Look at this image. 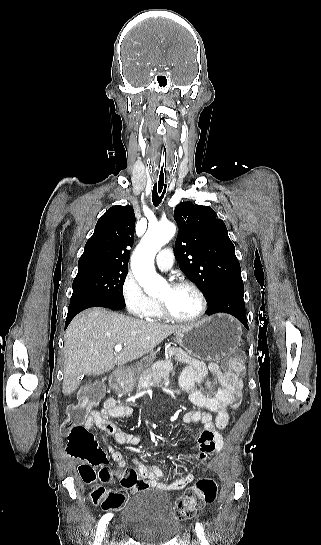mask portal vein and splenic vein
I'll return each mask as SVG.
<instances>
[{
	"label": "portal vein and splenic vein",
	"mask_w": 321,
	"mask_h": 545,
	"mask_svg": "<svg viewBox=\"0 0 321 545\" xmlns=\"http://www.w3.org/2000/svg\"><path fill=\"white\" fill-rule=\"evenodd\" d=\"M121 349H122V345H115L116 353H120Z\"/></svg>",
	"instance_id": "obj_1"
}]
</instances>
